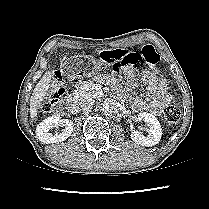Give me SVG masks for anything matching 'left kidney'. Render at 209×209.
<instances>
[{
	"label": "left kidney",
	"instance_id": "left-kidney-1",
	"mask_svg": "<svg viewBox=\"0 0 209 209\" xmlns=\"http://www.w3.org/2000/svg\"><path fill=\"white\" fill-rule=\"evenodd\" d=\"M138 120L144 121L148 125L147 136H144L140 132L134 131L131 133V139L142 146L151 147L159 143L162 136V128L158 119L147 112H141L138 114Z\"/></svg>",
	"mask_w": 209,
	"mask_h": 209
}]
</instances>
